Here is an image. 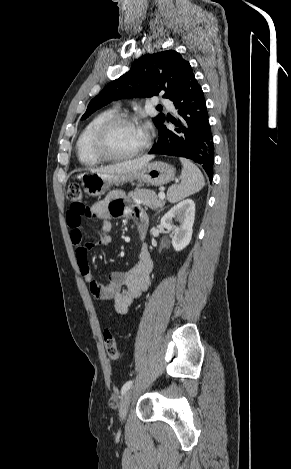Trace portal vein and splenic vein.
<instances>
[{"label":"portal vein and splenic vein","mask_w":291,"mask_h":469,"mask_svg":"<svg viewBox=\"0 0 291 469\" xmlns=\"http://www.w3.org/2000/svg\"><path fill=\"white\" fill-rule=\"evenodd\" d=\"M158 197H159V199L163 200V199L165 198L164 192H160V193L158 194Z\"/></svg>","instance_id":"obj_1"}]
</instances>
